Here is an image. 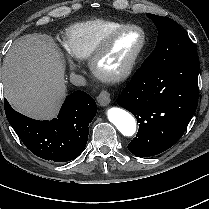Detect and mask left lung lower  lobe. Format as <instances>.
Here are the masks:
<instances>
[{"label":"left lung lower lobe","mask_w":209,"mask_h":209,"mask_svg":"<svg viewBox=\"0 0 209 209\" xmlns=\"http://www.w3.org/2000/svg\"><path fill=\"white\" fill-rule=\"evenodd\" d=\"M198 74V55L162 70L140 67L134 73L117 100L139 123L128 144L131 153L154 156L181 138L197 108Z\"/></svg>","instance_id":"0a47b994"}]
</instances>
